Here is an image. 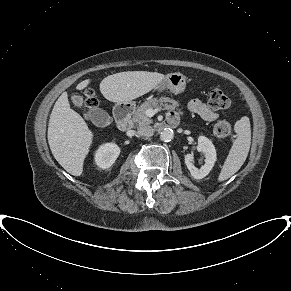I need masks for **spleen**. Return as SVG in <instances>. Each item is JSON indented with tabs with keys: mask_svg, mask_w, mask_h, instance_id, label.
<instances>
[{
	"mask_svg": "<svg viewBox=\"0 0 291 291\" xmlns=\"http://www.w3.org/2000/svg\"><path fill=\"white\" fill-rule=\"evenodd\" d=\"M236 139L224 162L218 181H224L234 175L245 162L251 144V129L248 117H242L235 123Z\"/></svg>",
	"mask_w": 291,
	"mask_h": 291,
	"instance_id": "1",
	"label": "spleen"
}]
</instances>
